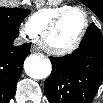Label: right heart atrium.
Wrapping results in <instances>:
<instances>
[{"label": "right heart atrium", "instance_id": "right-heart-atrium-1", "mask_svg": "<svg viewBox=\"0 0 103 103\" xmlns=\"http://www.w3.org/2000/svg\"><path fill=\"white\" fill-rule=\"evenodd\" d=\"M21 31H22V34L31 37V34L28 32L26 28H22Z\"/></svg>", "mask_w": 103, "mask_h": 103}]
</instances>
